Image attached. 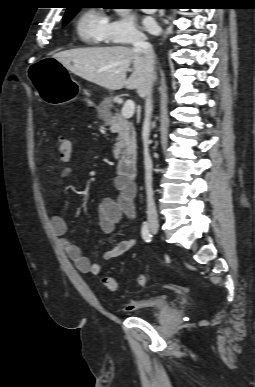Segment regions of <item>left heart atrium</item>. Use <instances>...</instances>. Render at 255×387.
<instances>
[{"instance_id":"39dd6f15","label":"left heart atrium","mask_w":255,"mask_h":387,"mask_svg":"<svg viewBox=\"0 0 255 387\" xmlns=\"http://www.w3.org/2000/svg\"><path fill=\"white\" fill-rule=\"evenodd\" d=\"M143 23L147 31L151 33L157 32L158 30L157 23L152 18H146Z\"/></svg>"}]
</instances>
